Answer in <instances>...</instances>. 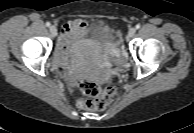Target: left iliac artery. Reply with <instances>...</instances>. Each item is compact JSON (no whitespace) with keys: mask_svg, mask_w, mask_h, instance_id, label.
I'll return each mask as SVG.
<instances>
[{"mask_svg":"<svg viewBox=\"0 0 194 133\" xmlns=\"http://www.w3.org/2000/svg\"><path fill=\"white\" fill-rule=\"evenodd\" d=\"M135 27H136V29H139L141 26H140V24H137Z\"/></svg>","mask_w":194,"mask_h":133,"instance_id":"left-iliac-artery-1","label":"left iliac artery"}]
</instances>
